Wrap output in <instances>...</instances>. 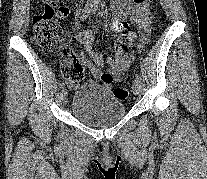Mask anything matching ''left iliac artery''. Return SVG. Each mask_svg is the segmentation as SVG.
I'll return each mask as SVG.
<instances>
[{
    "mask_svg": "<svg viewBox=\"0 0 207 179\" xmlns=\"http://www.w3.org/2000/svg\"><path fill=\"white\" fill-rule=\"evenodd\" d=\"M97 9H98V6L94 5L93 10H92L94 14L96 13ZM135 77H136V80H138L139 82L141 81V76L139 74H136Z\"/></svg>",
    "mask_w": 207,
    "mask_h": 179,
    "instance_id": "left-iliac-artery-1",
    "label": "left iliac artery"
}]
</instances>
